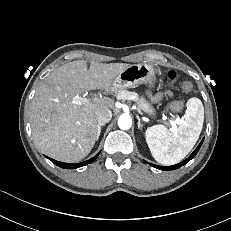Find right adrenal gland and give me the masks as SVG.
I'll return each mask as SVG.
<instances>
[{
  "mask_svg": "<svg viewBox=\"0 0 231 231\" xmlns=\"http://www.w3.org/2000/svg\"><path fill=\"white\" fill-rule=\"evenodd\" d=\"M101 126H103V125H98V135H97V140H98V138H99V136H100V133H101Z\"/></svg>",
  "mask_w": 231,
  "mask_h": 231,
  "instance_id": "2a0ac1e0",
  "label": "right adrenal gland"
}]
</instances>
